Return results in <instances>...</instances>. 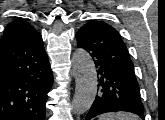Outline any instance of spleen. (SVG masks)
I'll return each mask as SVG.
<instances>
[{
	"label": "spleen",
	"mask_w": 165,
	"mask_h": 120,
	"mask_svg": "<svg viewBox=\"0 0 165 120\" xmlns=\"http://www.w3.org/2000/svg\"><path fill=\"white\" fill-rule=\"evenodd\" d=\"M99 120H138V117L131 113L117 112L103 114L99 117Z\"/></svg>",
	"instance_id": "spleen-1"
}]
</instances>
